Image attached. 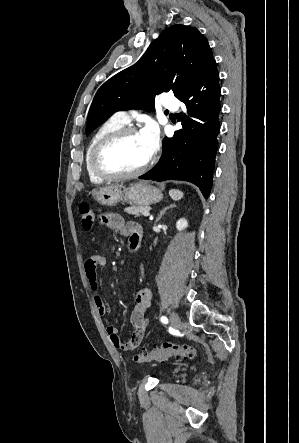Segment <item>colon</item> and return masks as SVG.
Masks as SVG:
<instances>
[{"label":"colon","instance_id":"colon-1","mask_svg":"<svg viewBox=\"0 0 299 443\" xmlns=\"http://www.w3.org/2000/svg\"><path fill=\"white\" fill-rule=\"evenodd\" d=\"M78 212L80 216L81 227L89 231L94 227L95 224V214L93 209L88 203H81L78 207ZM197 356V351L194 347L189 345H177L172 343H165L164 345L143 350L134 356V361L136 363H145L151 360H166L171 357L178 359L181 358H195Z\"/></svg>","mask_w":299,"mask_h":443}]
</instances>
